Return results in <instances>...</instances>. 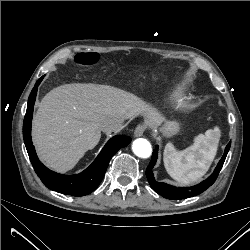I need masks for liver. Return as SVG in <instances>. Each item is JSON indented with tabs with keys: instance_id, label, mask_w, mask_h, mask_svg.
<instances>
[{
	"instance_id": "obj_1",
	"label": "liver",
	"mask_w": 250,
	"mask_h": 250,
	"mask_svg": "<svg viewBox=\"0 0 250 250\" xmlns=\"http://www.w3.org/2000/svg\"><path fill=\"white\" fill-rule=\"evenodd\" d=\"M138 114L155 125L164 120L154 108L121 89L97 84L61 85L39 104L33 120V142L47 166L66 172L99 143L106 121Z\"/></svg>"
}]
</instances>
